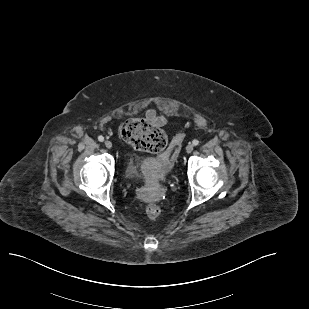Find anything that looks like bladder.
<instances>
[{
	"label": "bladder",
	"instance_id": "31cf9c89",
	"mask_svg": "<svg viewBox=\"0 0 309 309\" xmlns=\"http://www.w3.org/2000/svg\"><path fill=\"white\" fill-rule=\"evenodd\" d=\"M124 175L128 180L143 179L140 160L133 156L128 157L125 164Z\"/></svg>",
	"mask_w": 309,
	"mask_h": 309
}]
</instances>
